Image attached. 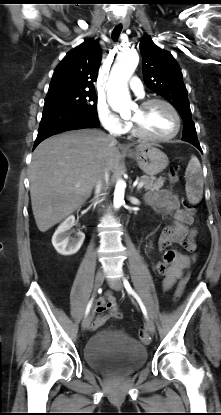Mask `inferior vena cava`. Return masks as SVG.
I'll use <instances>...</instances> for the list:
<instances>
[{"instance_id":"1","label":"inferior vena cava","mask_w":221,"mask_h":415,"mask_svg":"<svg viewBox=\"0 0 221 415\" xmlns=\"http://www.w3.org/2000/svg\"><path fill=\"white\" fill-rule=\"evenodd\" d=\"M115 139L113 138V142ZM109 181V172L107 169H105L97 178L95 183V196L98 197L106 187V184Z\"/></svg>"}]
</instances>
